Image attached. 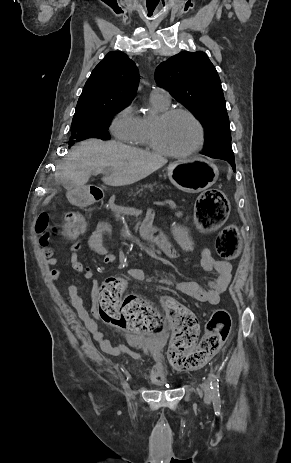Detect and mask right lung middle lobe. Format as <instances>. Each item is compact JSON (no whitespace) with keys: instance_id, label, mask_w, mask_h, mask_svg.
Here are the masks:
<instances>
[{"instance_id":"1","label":"right lung middle lobe","mask_w":291,"mask_h":463,"mask_svg":"<svg viewBox=\"0 0 291 463\" xmlns=\"http://www.w3.org/2000/svg\"><path fill=\"white\" fill-rule=\"evenodd\" d=\"M128 104L130 103L109 101L101 104L94 111L74 115L68 142L69 147L76 142L90 138L110 139L108 128L111 120Z\"/></svg>"}]
</instances>
